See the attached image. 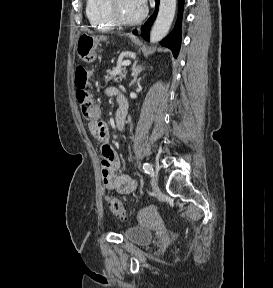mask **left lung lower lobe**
<instances>
[{"instance_id":"left-lung-lower-lobe-1","label":"left lung lower lobe","mask_w":273,"mask_h":288,"mask_svg":"<svg viewBox=\"0 0 273 288\" xmlns=\"http://www.w3.org/2000/svg\"><path fill=\"white\" fill-rule=\"evenodd\" d=\"M183 3L184 0H178V20L175 29L165 38L163 39L160 43L161 45L168 47L169 49L172 50L174 57H177L180 45H181V19H182V10H183ZM158 7H159V0H156V8L153 13V15L149 18V20L145 23V26H143V32H142V37L146 40L149 41V29L151 24L156 18L157 12H158ZM134 34H137V31H133Z\"/></svg>"}]
</instances>
